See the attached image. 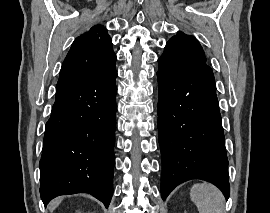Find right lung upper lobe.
<instances>
[{
	"instance_id": "obj_1",
	"label": "right lung upper lobe",
	"mask_w": 270,
	"mask_h": 213,
	"mask_svg": "<svg viewBox=\"0 0 270 213\" xmlns=\"http://www.w3.org/2000/svg\"><path fill=\"white\" fill-rule=\"evenodd\" d=\"M116 55L103 25H95L73 42L60 71L56 91L84 85L111 75Z\"/></svg>"
}]
</instances>
